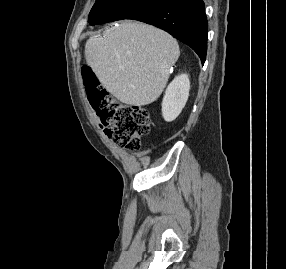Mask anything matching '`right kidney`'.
Masks as SVG:
<instances>
[{
    "mask_svg": "<svg viewBox=\"0 0 286 269\" xmlns=\"http://www.w3.org/2000/svg\"><path fill=\"white\" fill-rule=\"evenodd\" d=\"M190 90L189 77L179 75L168 85L162 102V115L165 121L175 120L184 108Z\"/></svg>",
    "mask_w": 286,
    "mask_h": 269,
    "instance_id": "right-kidney-1",
    "label": "right kidney"
}]
</instances>
